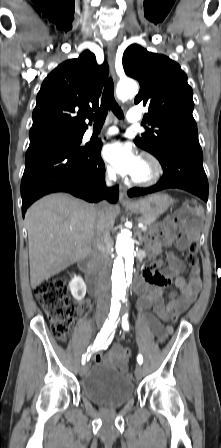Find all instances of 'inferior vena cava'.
<instances>
[{
  "label": "inferior vena cava",
  "instance_id": "obj_1",
  "mask_svg": "<svg viewBox=\"0 0 221 448\" xmlns=\"http://www.w3.org/2000/svg\"><path fill=\"white\" fill-rule=\"evenodd\" d=\"M113 179H115V175L113 173H109V180ZM106 206V202L102 201L96 207L98 221L93 243V253L99 272V297L97 301V313L103 315L108 314L110 307V273L112 266L110 231L104 225Z\"/></svg>",
  "mask_w": 221,
  "mask_h": 448
}]
</instances>
